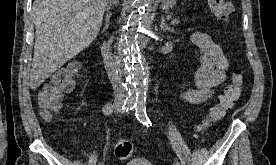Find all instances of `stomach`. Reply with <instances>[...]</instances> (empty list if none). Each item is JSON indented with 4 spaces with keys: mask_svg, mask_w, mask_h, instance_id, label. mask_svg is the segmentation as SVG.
Instances as JSON below:
<instances>
[{
    "mask_svg": "<svg viewBox=\"0 0 276 165\" xmlns=\"http://www.w3.org/2000/svg\"><path fill=\"white\" fill-rule=\"evenodd\" d=\"M164 2L163 7L169 8L175 4V0H162Z\"/></svg>",
    "mask_w": 276,
    "mask_h": 165,
    "instance_id": "1",
    "label": "stomach"
}]
</instances>
